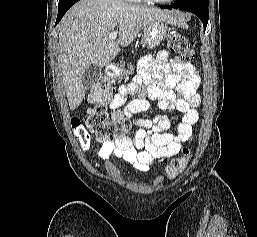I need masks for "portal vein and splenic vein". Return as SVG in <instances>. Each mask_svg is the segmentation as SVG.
Instances as JSON below:
<instances>
[{"label": "portal vein and splenic vein", "instance_id": "portal-vein-and-splenic-vein-1", "mask_svg": "<svg viewBox=\"0 0 257 237\" xmlns=\"http://www.w3.org/2000/svg\"><path fill=\"white\" fill-rule=\"evenodd\" d=\"M116 37H117V32H111V33L109 34V39H110V40H115Z\"/></svg>", "mask_w": 257, "mask_h": 237}]
</instances>
